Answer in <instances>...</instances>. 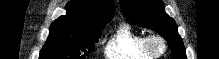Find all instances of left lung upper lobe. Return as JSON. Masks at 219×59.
<instances>
[{
	"label": "left lung upper lobe",
	"mask_w": 219,
	"mask_h": 59,
	"mask_svg": "<svg viewBox=\"0 0 219 59\" xmlns=\"http://www.w3.org/2000/svg\"><path fill=\"white\" fill-rule=\"evenodd\" d=\"M120 7L130 22L152 29L167 40L171 59H187L176 23L165 13L162 0H120Z\"/></svg>",
	"instance_id": "1"
}]
</instances>
